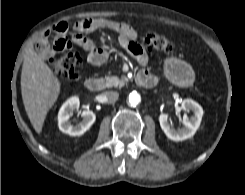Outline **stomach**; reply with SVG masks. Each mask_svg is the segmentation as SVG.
<instances>
[{
	"instance_id": "stomach-1",
	"label": "stomach",
	"mask_w": 245,
	"mask_h": 195,
	"mask_svg": "<svg viewBox=\"0 0 245 195\" xmlns=\"http://www.w3.org/2000/svg\"><path fill=\"white\" fill-rule=\"evenodd\" d=\"M165 72L170 81L177 86H188L194 80L191 69L182 61L174 58L166 60Z\"/></svg>"
}]
</instances>
